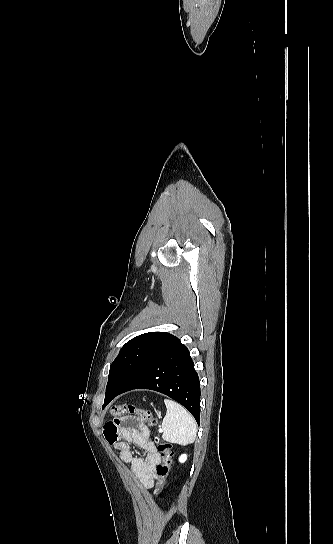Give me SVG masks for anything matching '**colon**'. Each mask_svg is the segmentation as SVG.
Returning <instances> with one entry per match:
<instances>
[{
    "mask_svg": "<svg viewBox=\"0 0 333 544\" xmlns=\"http://www.w3.org/2000/svg\"><path fill=\"white\" fill-rule=\"evenodd\" d=\"M111 414L113 416H137L142 422L147 423L149 426L155 428L158 424L157 418L152 414L150 410L141 409L133 405L119 404L111 408ZM155 442L158 452L162 456V462L156 466V485L154 493L159 495L165 485L166 480L170 472L172 462V445L166 441L161 440L158 436L155 437Z\"/></svg>",
    "mask_w": 333,
    "mask_h": 544,
    "instance_id": "colon-1",
    "label": "colon"
}]
</instances>
